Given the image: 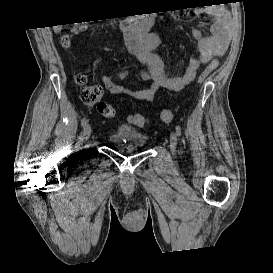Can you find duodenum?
Wrapping results in <instances>:
<instances>
[{"mask_svg": "<svg viewBox=\"0 0 273 273\" xmlns=\"http://www.w3.org/2000/svg\"><path fill=\"white\" fill-rule=\"evenodd\" d=\"M156 18L153 14H138L126 17L121 22V27L124 31L129 33H136L141 41H147V37L142 35V32L153 25Z\"/></svg>", "mask_w": 273, "mask_h": 273, "instance_id": "1", "label": "duodenum"}]
</instances>
